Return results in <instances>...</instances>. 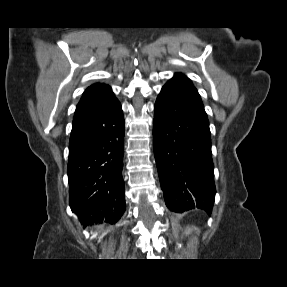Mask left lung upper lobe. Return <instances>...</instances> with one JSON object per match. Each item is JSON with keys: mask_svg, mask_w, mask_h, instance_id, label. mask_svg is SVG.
<instances>
[{"mask_svg": "<svg viewBox=\"0 0 287 287\" xmlns=\"http://www.w3.org/2000/svg\"><path fill=\"white\" fill-rule=\"evenodd\" d=\"M166 84L173 86L191 106L206 115L200 95L189 78L181 73H176Z\"/></svg>", "mask_w": 287, "mask_h": 287, "instance_id": "1", "label": "left lung upper lobe"}]
</instances>
